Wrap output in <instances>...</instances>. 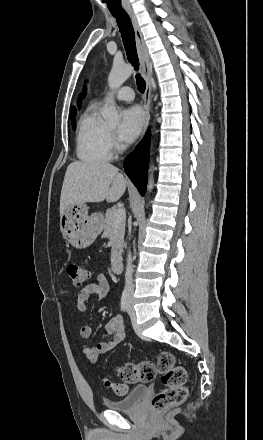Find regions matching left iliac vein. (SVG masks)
<instances>
[{
  "instance_id": "4c4485c4",
  "label": "left iliac vein",
  "mask_w": 263,
  "mask_h": 440,
  "mask_svg": "<svg viewBox=\"0 0 263 440\" xmlns=\"http://www.w3.org/2000/svg\"><path fill=\"white\" fill-rule=\"evenodd\" d=\"M129 304H128V312L131 314V313H133V309H132V300H131V298H129Z\"/></svg>"
}]
</instances>
